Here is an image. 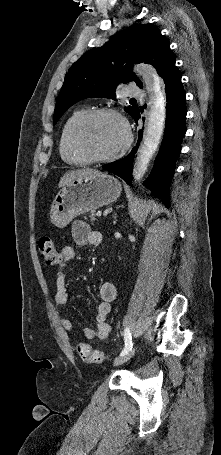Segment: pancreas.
Returning <instances> with one entry per match:
<instances>
[{
  "mask_svg": "<svg viewBox=\"0 0 221 455\" xmlns=\"http://www.w3.org/2000/svg\"><path fill=\"white\" fill-rule=\"evenodd\" d=\"M89 218H90V221L92 223H94L96 221V217H95V212L94 211H91V213L89 214Z\"/></svg>",
  "mask_w": 221,
  "mask_h": 455,
  "instance_id": "obj_1",
  "label": "pancreas"
}]
</instances>
